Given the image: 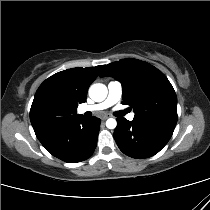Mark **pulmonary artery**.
Masks as SVG:
<instances>
[{"label": "pulmonary artery", "instance_id": "e3ab8cb5", "mask_svg": "<svg viewBox=\"0 0 210 210\" xmlns=\"http://www.w3.org/2000/svg\"><path fill=\"white\" fill-rule=\"evenodd\" d=\"M122 96V85L118 81H111L108 84V94L105 100L94 105H85L79 109L80 113L85 112H100L117 103ZM129 120L134 119V113L128 114Z\"/></svg>", "mask_w": 210, "mask_h": 210}]
</instances>
